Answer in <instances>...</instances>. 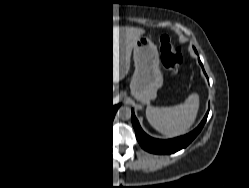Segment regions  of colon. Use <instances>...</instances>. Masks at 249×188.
I'll list each match as a JSON object with an SVG mask.
<instances>
[{
    "instance_id": "colon-1",
    "label": "colon",
    "mask_w": 249,
    "mask_h": 188,
    "mask_svg": "<svg viewBox=\"0 0 249 188\" xmlns=\"http://www.w3.org/2000/svg\"><path fill=\"white\" fill-rule=\"evenodd\" d=\"M161 62L165 69L173 74L180 72L184 57L182 47L176 44L169 36L159 38Z\"/></svg>"
}]
</instances>
